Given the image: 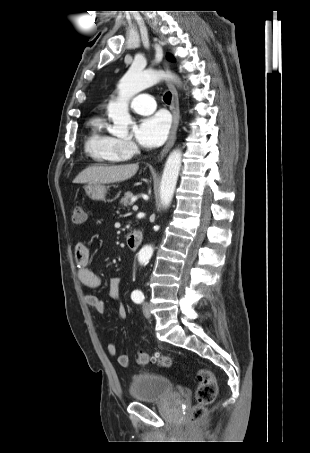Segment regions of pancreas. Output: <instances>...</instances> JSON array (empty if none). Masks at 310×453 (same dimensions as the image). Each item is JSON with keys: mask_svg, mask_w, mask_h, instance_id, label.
Wrapping results in <instances>:
<instances>
[{"mask_svg": "<svg viewBox=\"0 0 310 453\" xmlns=\"http://www.w3.org/2000/svg\"><path fill=\"white\" fill-rule=\"evenodd\" d=\"M133 197L132 192H126L124 197L120 200V204L124 207H128L131 205L130 199Z\"/></svg>", "mask_w": 310, "mask_h": 453, "instance_id": "cf45deb5", "label": "pancreas"}]
</instances>
